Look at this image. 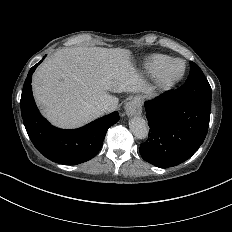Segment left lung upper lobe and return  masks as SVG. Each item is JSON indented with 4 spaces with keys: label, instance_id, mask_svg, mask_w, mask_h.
Returning a JSON list of instances; mask_svg holds the SVG:
<instances>
[{
    "label": "left lung upper lobe",
    "instance_id": "left-lung-upper-lobe-1",
    "mask_svg": "<svg viewBox=\"0 0 232 232\" xmlns=\"http://www.w3.org/2000/svg\"><path fill=\"white\" fill-rule=\"evenodd\" d=\"M178 93L211 106V87L197 64L190 61V73L186 82L178 88Z\"/></svg>",
    "mask_w": 232,
    "mask_h": 232
}]
</instances>
